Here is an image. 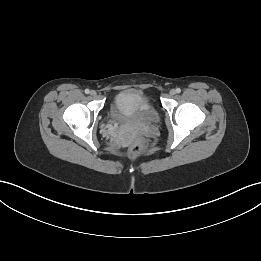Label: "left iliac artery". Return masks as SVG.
Segmentation results:
<instances>
[{
	"mask_svg": "<svg viewBox=\"0 0 261 261\" xmlns=\"http://www.w3.org/2000/svg\"><path fill=\"white\" fill-rule=\"evenodd\" d=\"M176 92H177V93H180V92H181V89H180V88H177V89H176Z\"/></svg>",
	"mask_w": 261,
	"mask_h": 261,
	"instance_id": "obj_1",
	"label": "left iliac artery"
}]
</instances>
